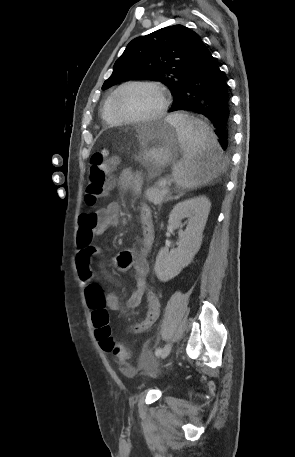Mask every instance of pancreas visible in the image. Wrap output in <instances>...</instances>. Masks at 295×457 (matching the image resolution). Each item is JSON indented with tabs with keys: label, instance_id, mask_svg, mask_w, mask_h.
Wrapping results in <instances>:
<instances>
[{
	"label": "pancreas",
	"instance_id": "cf45deb5",
	"mask_svg": "<svg viewBox=\"0 0 295 457\" xmlns=\"http://www.w3.org/2000/svg\"><path fill=\"white\" fill-rule=\"evenodd\" d=\"M160 181H158L155 187L148 188L145 192L146 198L154 204H161L164 200L168 199L169 188L160 185Z\"/></svg>",
	"mask_w": 295,
	"mask_h": 457
}]
</instances>
